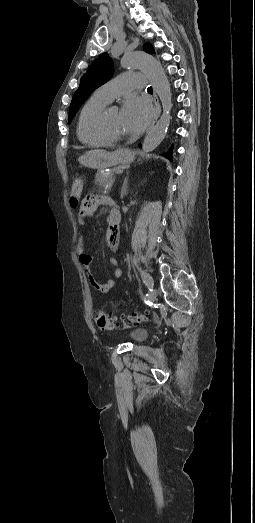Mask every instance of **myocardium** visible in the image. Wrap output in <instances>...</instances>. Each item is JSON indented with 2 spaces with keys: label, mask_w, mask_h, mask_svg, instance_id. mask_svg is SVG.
Returning a JSON list of instances; mask_svg holds the SVG:
<instances>
[{
  "label": "myocardium",
  "mask_w": 255,
  "mask_h": 523,
  "mask_svg": "<svg viewBox=\"0 0 255 523\" xmlns=\"http://www.w3.org/2000/svg\"><path fill=\"white\" fill-rule=\"evenodd\" d=\"M123 109L120 106L106 105L97 111H95L88 120V128L90 132L100 138H103L109 142H131L134 140V137L131 138H122L113 134L106 126V118L108 113L114 109Z\"/></svg>",
  "instance_id": "1"
}]
</instances>
